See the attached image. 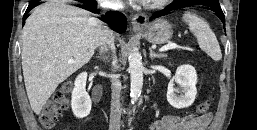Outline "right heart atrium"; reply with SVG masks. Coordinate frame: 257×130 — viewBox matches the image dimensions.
Here are the masks:
<instances>
[{
	"mask_svg": "<svg viewBox=\"0 0 257 130\" xmlns=\"http://www.w3.org/2000/svg\"><path fill=\"white\" fill-rule=\"evenodd\" d=\"M108 2L112 5H116L120 3V0H108Z\"/></svg>",
	"mask_w": 257,
	"mask_h": 130,
	"instance_id": "1",
	"label": "right heart atrium"
}]
</instances>
